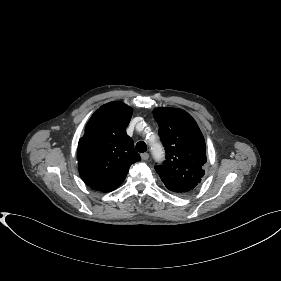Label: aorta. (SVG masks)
Listing matches in <instances>:
<instances>
[{
    "instance_id": "1",
    "label": "aorta",
    "mask_w": 281,
    "mask_h": 281,
    "mask_svg": "<svg viewBox=\"0 0 281 281\" xmlns=\"http://www.w3.org/2000/svg\"><path fill=\"white\" fill-rule=\"evenodd\" d=\"M151 149L155 158L159 159L163 156V148L160 143L152 142Z\"/></svg>"
}]
</instances>
